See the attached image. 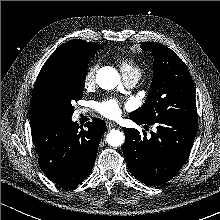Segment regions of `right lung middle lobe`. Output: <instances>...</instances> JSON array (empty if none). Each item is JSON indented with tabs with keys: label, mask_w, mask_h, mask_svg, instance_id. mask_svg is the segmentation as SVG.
Listing matches in <instances>:
<instances>
[{
	"label": "right lung middle lobe",
	"mask_w": 220,
	"mask_h": 220,
	"mask_svg": "<svg viewBox=\"0 0 220 220\" xmlns=\"http://www.w3.org/2000/svg\"><path fill=\"white\" fill-rule=\"evenodd\" d=\"M94 54H80L64 60L52 72L48 99L56 117H72L73 101L82 98L87 66Z\"/></svg>",
	"instance_id": "obj_1"
}]
</instances>
